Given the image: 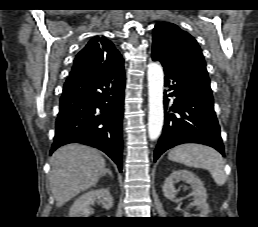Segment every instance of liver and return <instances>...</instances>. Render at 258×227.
Listing matches in <instances>:
<instances>
[{
    "mask_svg": "<svg viewBox=\"0 0 258 227\" xmlns=\"http://www.w3.org/2000/svg\"><path fill=\"white\" fill-rule=\"evenodd\" d=\"M50 164V187L57 207L95 186L106 170L100 153L80 144L59 148L52 155Z\"/></svg>",
    "mask_w": 258,
    "mask_h": 227,
    "instance_id": "liver-1",
    "label": "liver"
}]
</instances>
